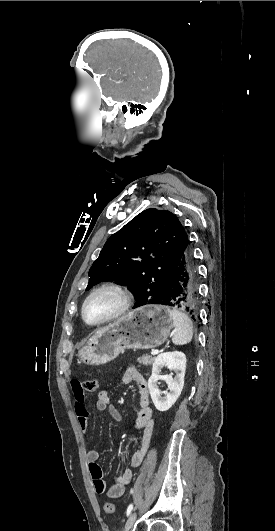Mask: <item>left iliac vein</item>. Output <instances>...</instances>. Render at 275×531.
I'll list each match as a JSON object with an SVG mask.
<instances>
[{
    "label": "left iliac vein",
    "instance_id": "obj_1",
    "mask_svg": "<svg viewBox=\"0 0 275 531\" xmlns=\"http://www.w3.org/2000/svg\"><path fill=\"white\" fill-rule=\"evenodd\" d=\"M136 515H137L136 512H133L128 517V519L126 521V524H125L126 531H129L133 527V525H134V523L136 521Z\"/></svg>",
    "mask_w": 275,
    "mask_h": 531
}]
</instances>
